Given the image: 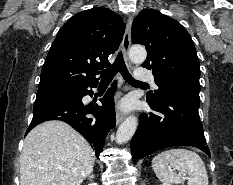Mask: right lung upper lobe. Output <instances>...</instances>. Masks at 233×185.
<instances>
[{"label":"right lung upper lobe","instance_id":"right-lung-upper-lobe-1","mask_svg":"<svg viewBox=\"0 0 233 185\" xmlns=\"http://www.w3.org/2000/svg\"><path fill=\"white\" fill-rule=\"evenodd\" d=\"M125 23L107 8L75 14L59 30L46 57L38 91L98 83V70L120 45Z\"/></svg>","mask_w":233,"mask_h":185}]
</instances>
